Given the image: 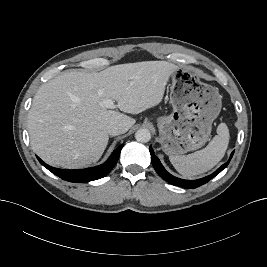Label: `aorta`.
Masks as SVG:
<instances>
[{"mask_svg": "<svg viewBox=\"0 0 267 267\" xmlns=\"http://www.w3.org/2000/svg\"><path fill=\"white\" fill-rule=\"evenodd\" d=\"M135 139L138 142H142V143H146L148 141H150L151 139V133L148 129L146 128H140L139 130H137V132L135 133Z\"/></svg>", "mask_w": 267, "mask_h": 267, "instance_id": "obj_1", "label": "aorta"}]
</instances>
